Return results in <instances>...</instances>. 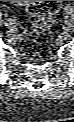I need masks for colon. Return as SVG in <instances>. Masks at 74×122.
<instances>
[{
    "mask_svg": "<svg viewBox=\"0 0 74 122\" xmlns=\"http://www.w3.org/2000/svg\"><path fill=\"white\" fill-rule=\"evenodd\" d=\"M50 4H52V3H50ZM53 5H54V3L52 5H50L47 12H52L54 10L55 5L54 6ZM45 28H46V25H45L44 19H41V21L36 23L34 30L38 35H40L45 31Z\"/></svg>",
    "mask_w": 74,
    "mask_h": 122,
    "instance_id": "1",
    "label": "colon"
}]
</instances>
